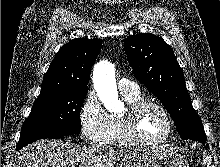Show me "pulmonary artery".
Segmentation results:
<instances>
[{
  "mask_svg": "<svg viewBox=\"0 0 220 167\" xmlns=\"http://www.w3.org/2000/svg\"><path fill=\"white\" fill-rule=\"evenodd\" d=\"M118 86H119V89L122 93H124V92L137 93V92H139L138 86L134 82H132L131 80H129L127 78L120 79L118 82Z\"/></svg>",
  "mask_w": 220,
  "mask_h": 167,
  "instance_id": "e3ab8cb5",
  "label": "pulmonary artery"
}]
</instances>
